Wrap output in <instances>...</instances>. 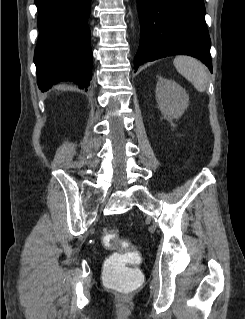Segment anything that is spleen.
I'll use <instances>...</instances> for the list:
<instances>
[{
  "mask_svg": "<svg viewBox=\"0 0 245 319\" xmlns=\"http://www.w3.org/2000/svg\"><path fill=\"white\" fill-rule=\"evenodd\" d=\"M173 64L177 71L190 81L199 92L206 90L208 78L203 63L190 56H177Z\"/></svg>",
  "mask_w": 245,
  "mask_h": 319,
  "instance_id": "obj_1",
  "label": "spleen"
}]
</instances>
